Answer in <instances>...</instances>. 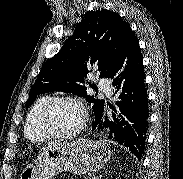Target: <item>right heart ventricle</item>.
<instances>
[{
  "instance_id": "right-heart-ventricle-1",
  "label": "right heart ventricle",
  "mask_w": 183,
  "mask_h": 179,
  "mask_svg": "<svg viewBox=\"0 0 183 179\" xmlns=\"http://www.w3.org/2000/svg\"><path fill=\"white\" fill-rule=\"evenodd\" d=\"M51 98L52 97L49 95L38 98L27 116L25 124V134L27 138L31 141L39 142L47 138L39 129L38 119L41 110Z\"/></svg>"
}]
</instances>
